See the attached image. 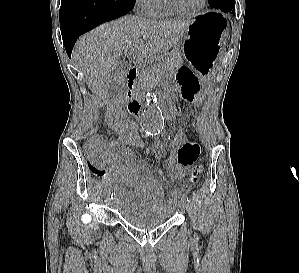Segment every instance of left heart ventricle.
Wrapping results in <instances>:
<instances>
[{
  "mask_svg": "<svg viewBox=\"0 0 299 273\" xmlns=\"http://www.w3.org/2000/svg\"><path fill=\"white\" fill-rule=\"evenodd\" d=\"M174 4L182 10L193 11L201 3V0H173Z\"/></svg>",
  "mask_w": 299,
  "mask_h": 273,
  "instance_id": "b2bd125f",
  "label": "left heart ventricle"
}]
</instances>
